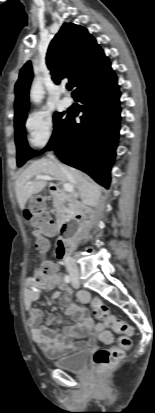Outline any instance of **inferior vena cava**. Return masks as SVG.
Wrapping results in <instances>:
<instances>
[{"instance_id": "602c4592", "label": "inferior vena cava", "mask_w": 155, "mask_h": 413, "mask_svg": "<svg viewBox=\"0 0 155 413\" xmlns=\"http://www.w3.org/2000/svg\"><path fill=\"white\" fill-rule=\"evenodd\" d=\"M50 159H52V160L57 164V166H58V168L60 169V171H61L69 180L73 181V178H72L71 173L68 171V169H67L64 165L60 164V163L54 158L53 155H50ZM73 196H74L75 199L78 198L79 192H75ZM65 265H66L67 270H68L70 273H78V268H77V266H76V263H75L74 259L71 258L70 256H67V257L65 258Z\"/></svg>"}]
</instances>
